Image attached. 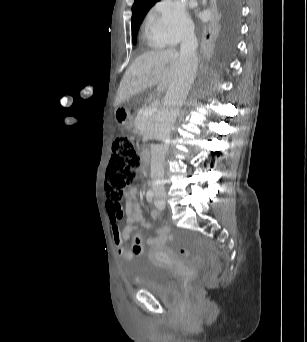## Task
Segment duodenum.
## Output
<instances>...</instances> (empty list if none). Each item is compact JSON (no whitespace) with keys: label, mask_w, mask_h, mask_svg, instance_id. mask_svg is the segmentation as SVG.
Here are the masks:
<instances>
[{"label":"duodenum","mask_w":307,"mask_h":342,"mask_svg":"<svg viewBox=\"0 0 307 342\" xmlns=\"http://www.w3.org/2000/svg\"><path fill=\"white\" fill-rule=\"evenodd\" d=\"M140 155L142 158L144 168H147L150 164V159H151L150 151L147 149H142Z\"/></svg>","instance_id":"duodenum-1"}]
</instances>
